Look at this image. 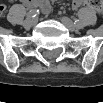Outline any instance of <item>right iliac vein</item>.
Wrapping results in <instances>:
<instances>
[{
    "label": "right iliac vein",
    "instance_id": "right-iliac-vein-1",
    "mask_svg": "<svg viewBox=\"0 0 103 103\" xmlns=\"http://www.w3.org/2000/svg\"><path fill=\"white\" fill-rule=\"evenodd\" d=\"M35 24V20L34 19H26L24 22V27L25 28H30Z\"/></svg>",
    "mask_w": 103,
    "mask_h": 103
}]
</instances>
